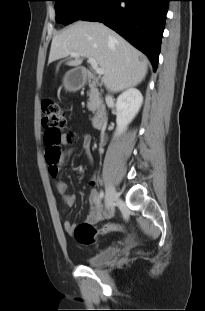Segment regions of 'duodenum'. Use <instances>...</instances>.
<instances>
[{
	"label": "duodenum",
	"instance_id": "1",
	"mask_svg": "<svg viewBox=\"0 0 205 311\" xmlns=\"http://www.w3.org/2000/svg\"><path fill=\"white\" fill-rule=\"evenodd\" d=\"M75 76L80 79V84L95 86L99 83V79L91 75L86 68H78ZM107 118V109L102 104L94 113L92 122L95 126L101 125Z\"/></svg>",
	"mask_w": 205,
	"mask_h": 311
}]
</instances>
